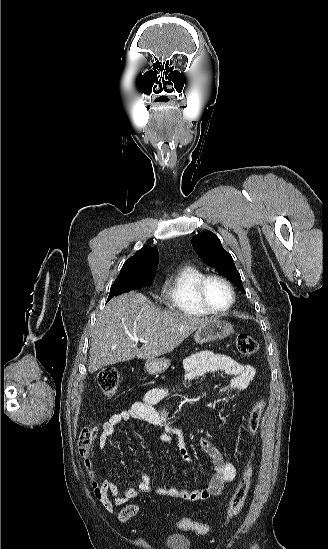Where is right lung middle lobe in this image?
Instances as JSON below:
<instances>
[{
	"label": "right lung middle lobe",
	"instance_id": "obj_1",
	"mask_svg": "<svg viewBox=\"0 0 328 549\" xmlns=\"http://www.w3.org/2000/svg\"><path fill=\"white\" fill-rule=\"evenodd\" d=\"M158 264H144L135 268L120 271V274L112 284L108 300L114 296L134 290L153 282Z\"/></svg>",
	"mask_w": 328,
	"mask_h": 549
}]
</instances>
